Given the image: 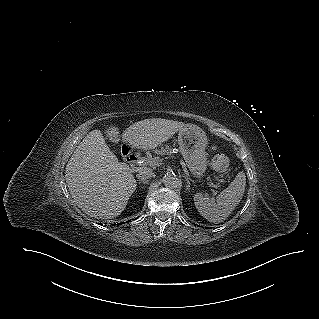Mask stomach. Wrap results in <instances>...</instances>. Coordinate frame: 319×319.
<instances>
[{
  "instance_id": "0dacf381",
  "label": "stomach",
  "mask_w": 319,
  "mask_h": 319,
  "mask_svg": "<svg viewBox=\"0 0 319 319\" xmlns=\"http://www.w3.org/2000/svg\"><path fill=\"white\" fill-rule=\"evenodd\" d=\"M206 133L195 125H187L179 131L178 144L186 166L199 181L205 176L208 165L205 148Z\"/></svg>"
}]
</instances>
